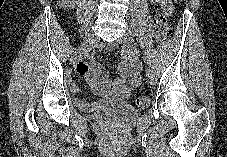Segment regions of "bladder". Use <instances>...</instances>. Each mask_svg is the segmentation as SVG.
<instances>
[{
	"label": "bladder",
	"mask_w": 227,
	"mask_h": 157,
	"mask_svg": "<svg viewBox=\"0 0 227 157\" xmlns=\"http://www.w3.org/2000/svg\"><path fill=\"white\" fill-rule=\"evenodd\" d=\"M140 115V110L130 104L117 103L105 105L94 113V117L113 121L125 122Z\"/></svg>",
	"instance_id": "obj_1"
}]
</instances>
